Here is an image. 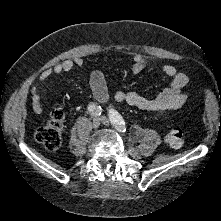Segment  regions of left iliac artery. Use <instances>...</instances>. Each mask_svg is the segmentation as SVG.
<instances>
[{
  "label": "left iliac artery",
  "instance_id": "44dca946",
  "mask_svg": "<svg viewBox=\"0 0 221 221\" xmlns=\"http://www.w3.org/2000/svg\"><path fill=\"white\" fill-rule=\"evenodd\" d=\"M109 118L113 126L118 129L120 132H125V121L123 117L115 110H109Z\"/></svg>",
  "mask_w": 221,
  "mask_h": 221
}]
</instances>
